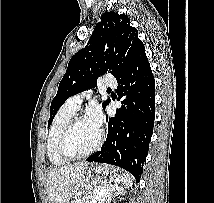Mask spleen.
Returning a JSON list of instances; mask_svg holds the SVG:
<instances>
[{
  "instance_id": "spleen-1",
  "label": "spleen",
  "mask_w": 214,
  "mask_h": 203,
  "mask_svg": "<svg viewBox=\"0 0 214 203\" xmlns=\"http://www.w3.org/2000/svg\"><path fill=\"white\" fill-rule=\"evenodd\" d=\"M119 180L121 183H123L126 186V188H129L130 186H132V181H131L129 174L123 173L119 177Z\"/></svg>"
}]
</instances>
